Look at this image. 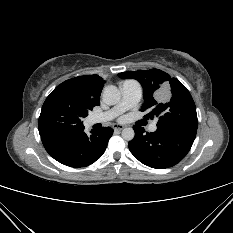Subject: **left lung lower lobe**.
<instances>
[{"label":"left lung lower lobe","mask_w":233,"mask_h":233,"mask_svg":"<svg viewBox=\"0 0 233 233\" xmlns=\"http://www.w3.org/2000/svg\"><path fill=\"white\" fill-rule=\"evenodd\" d=\"M135 138L129 142L130 152L144 165L155 169L172 167L189 152L196 131L161 130L145 133L142 127L134 126Z\"/></svg>","instance_id":"1"}]
</instances>
